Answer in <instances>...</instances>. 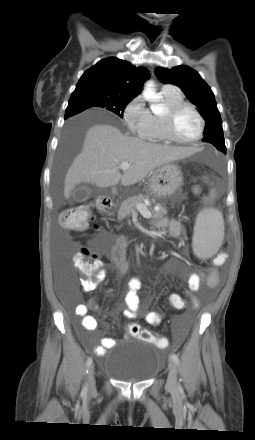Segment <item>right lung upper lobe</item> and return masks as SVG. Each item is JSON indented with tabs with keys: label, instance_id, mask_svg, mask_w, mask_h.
<instances>
[{
	"label": "right lung upper lobe",
	"instance_id": "1",
	"mask_svg": "<svg viewBox=\"0 0 255 440\" xmlns=\"http://www.w3.org/2000/svg\"><path fill=\"white\" fill-rule=\"evenodd\" d=\"M148 78L149 71L146 68L135 67L125 60L110 57L85 71L73 93L100 92L133 99L140 94Z\"/></svg>",
	"mask_w": 255,
	"mask_h": 440
}]
</instances>
